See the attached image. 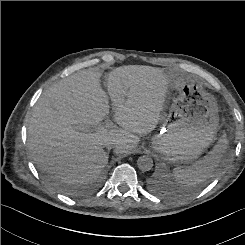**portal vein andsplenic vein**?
<instances>
[{
	"mask_svg": "<svg viewBox=\"0 0 245 245\" xmlns=\"http://www.w3.org/2000/svg\"><path fill=\"white\" fill-rule=\"evenodd\" d=\"M105 127L106 128H112L113 127V122L111 120H106Z\"/></svg>",
	"mask_w": 245,
	"mask_h": 245,
	"instance_id": "obj_1",
	"label": "portal vein and splenic vein"
}]
</instances>
